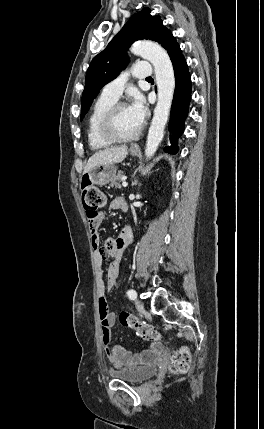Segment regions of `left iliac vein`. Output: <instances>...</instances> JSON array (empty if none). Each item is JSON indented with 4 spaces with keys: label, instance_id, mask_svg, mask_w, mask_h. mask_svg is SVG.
I'll list each match as a JSON object with an SVG mask.
<instances>
[{
    "label": "left iliac vein",
    "instance_id": "obj_1",
    "mask_svg": "<svg viewBox=\"0 0 264 429\" xmlns=\"http://www.w3.org/2000/svg\"><path fill=\"white\" fill-rule=\"evenodd\" d=\"M135 304H136V307H137L138 310H142L143 309V304L139 300H136Z\"/></svg>",
    "mask_w": 264,
    "mask_h": 429
}]
</instances>
